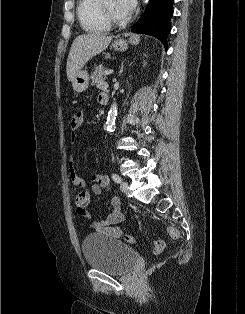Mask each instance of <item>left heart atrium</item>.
Listing matches in <instances>:
<instances>
[{"label": "left heart atrium", "mask_w": 245, "mask_h": 314, "mask_svg": "<svg viewBox=\"0 0 245 314\" xmlns=\"http://www.w3.org/2000/svg\"><path fill=\"white\" fill-rule=\"evenodd\" d=\"M116 2L118 7L127 14H129L135 6V0H116Z\"/></svg>", "instance_id": "left-heart-atrium-1"}]
</instances>
